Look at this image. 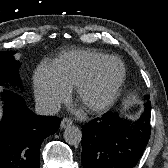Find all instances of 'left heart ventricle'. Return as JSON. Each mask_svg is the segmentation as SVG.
<instances>
[{"label":"left heart ventricle","mask_w":168,"mask_h":168,"mask_svg":"<svg viewBox=\"0 0 168 168\" xmlns=\"http://www.w3.org/2000/svg\"><path fill=\"white\" fill-rule=\"evenodd\" d=\"M119 74L115 62H109L100 71L96 81L86 90L83 96L85 104H94L102 100Z\"/></svg>","instance_id":"b2bd125f"}]
</instances>
